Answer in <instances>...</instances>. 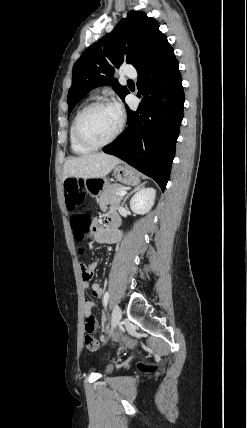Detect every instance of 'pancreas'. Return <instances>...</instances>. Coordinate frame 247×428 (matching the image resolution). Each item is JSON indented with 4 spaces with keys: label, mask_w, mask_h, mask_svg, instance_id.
Returning <instances> with one entry per match:
<instances>
[{
    "label": "pancreas",
    "mask_w": 247,
    "mask_h": 428,
    "mask_svg": "<svg viewBox=\"0 0 247 428\" xmlns=\"http://www.w3.org/2000/svg\"><path fill=\"white\" fill-rule=\"evenodd\" d=\"M124 186L120 184L108 185L100 194L99 205L101 209H105L107 205H117L120 203L122 196H118V192L123 190Z\"/></svg>",
    "instance_id": "cf45deb5"
}]
</instances>
